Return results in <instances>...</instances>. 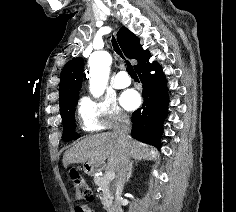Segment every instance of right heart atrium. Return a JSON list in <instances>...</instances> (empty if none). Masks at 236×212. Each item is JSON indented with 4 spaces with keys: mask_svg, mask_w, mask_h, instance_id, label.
I'll use <instances>...</instances> for the list:
<instances>
[{
    "mask_svg": "<svg viewBox=\"0 0 236 212\" xmlns=\"http://www.w3.org/2000/svg\"><path fill=\"white\" fill-rule=\"evenodd\" d=\"M78 115L85 132L112 129L128 121L127 114L111 96L83 98L78 106Z\"/></svg>",
    "mask_w": 236,
    "mask_h": 212,
    "instance_id": "d8ad5b80",
    "label": "right heart atrium"
}]
</instances>
